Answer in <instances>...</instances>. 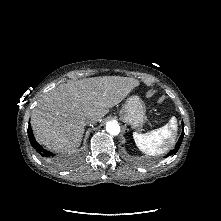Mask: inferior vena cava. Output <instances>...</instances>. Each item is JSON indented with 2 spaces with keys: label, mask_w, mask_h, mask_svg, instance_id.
Returning <instances> with one entry per match:
<instances>
[{
  "label": "inferior vena cava",
  "mask_w": 221,
  "mask_h": 221,
  "mask_svg": "<svg viewBox=\"0 0 221 221\" xmlns=\"http://www.w3.org/2000/svg\"><path fill=\"white\" fill-rule=\"evenodd\" d=\"M92 123V120L90 119V118H85L84 120H83V124L84 125H88V124H91Z\"/></svg>",
  "instance_id": "602c4592"
}]
</instances>
